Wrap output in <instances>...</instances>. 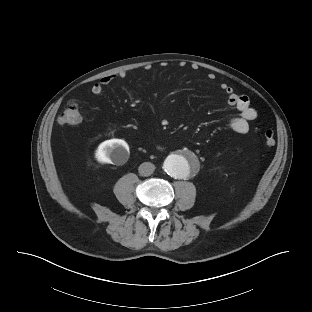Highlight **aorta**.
Returning a JSON list of instances; mask_svg holds the SVG:
<instances>
[{"mask_svg": "<svg viewBox=\"0 0 312 312\" xmlns=\"http://www.w3.org/2000/svg\"><path fill=\"white\" fill-rule=\"evenodd\" d=\"M194 162L192 155H170L165 159L163 169L171 177L180 179L187 176Z\"/></svg>", "mask_w": 312, "mask_h": 312, "instance_id": "aorta-1", "label": "aorta"}]
</instances>
